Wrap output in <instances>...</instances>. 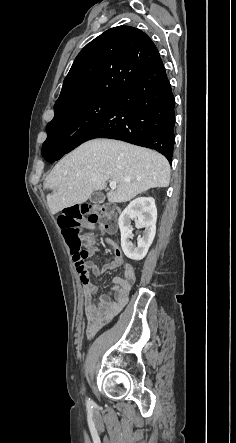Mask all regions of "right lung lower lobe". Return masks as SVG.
<instances>
[{"instance_id":"1","label":"right lung lower lobe","mask_w":236,"mask_h":443,"mask_svg":"<svg viewBox=\"0 0 236 443\" xmlns=\"http://www.w3.org/2000/svg\"><path fill=\"white\" fill-rule=\"evenodd\" d=\"M175 100L161 58L145 74L117 95L108 107L87 124L67 147L50 146L42 156L59 160L81 143L110 138L154 149L172 162Z\"/></svg>"}]
</instances>
